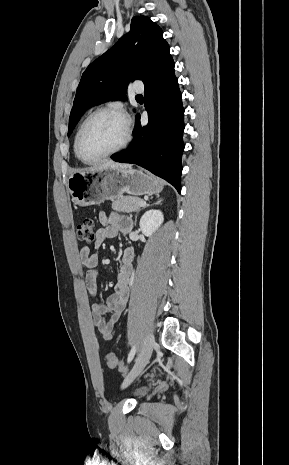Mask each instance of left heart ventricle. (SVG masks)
Returning a JSON list of instances; mask_svg holds the SVG:
<instances>
[{
    "instance_id": "left-heart-ventricle-1",
    "label": "left heart ventricle",
    "mask_w": 289,
    "mask_h": 465,
    "mask_svg": "<svg viewBox=\"0 0 289 465\" xmlns=\"http://www.w3.org/2000/svg\"><path fill=\"white\" fill-rule=\"evenodd\" d=\"M125 137V123L117 115L103 113L86 125L81 139V153L85 158H96L118 147Z\"/></svg>"
}]
</instances>
